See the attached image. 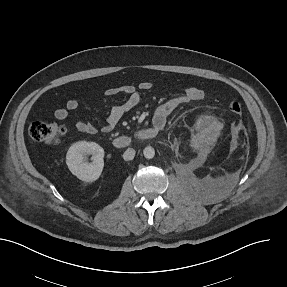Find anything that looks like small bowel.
<instances>
[{"label":"small bowel","mask_w":287,"mask_h":287,"mask_svg":"<svg viewBox=\"0 0 287 287\" xmlns=\"http://www.w3.org/2000/svg\"><path fill=\"white\" fill-rule=\"evenodd\" d=\"M150 89L151 83L147 81L141 82L138 85L129 84L106 89L105 94L107 96L125 95V100L110 109L106 122L101 127V131L104 133L111 132L125 114L138 106L142 93ZM203 98L204 91L202 89L194 86L186 87L182 93L168 99L155 109L152 116L153 127H157L159 130L163 129L168 118L177 108L190 102L200 101ZM78 108L79 101L71 99L64 106L57 108L54 115L58 120L64 121L69 117L71 112ZM75 127L78 131L86 134H95L97 132V127L94 124L84 120L76 121Z\"/></svg>","instance_id":"small-bowel-1"}]
</instances>
